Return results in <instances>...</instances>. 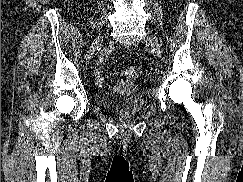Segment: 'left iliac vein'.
<instances>
[{
  "label": "left iliac vein",
  "mask_w": 243,
  "mask_h": 182,
  "mask_svg": "<svg viewBox=\"0 0 243 182\" xmlns=\"http://www.w3.org/2000/svg\"><path fill=\"white\" fill-rule=\"evenodd\" d=\"M147 43H149L151 45V47L153 48V50L155 51V53L161 57L162 55V47L160 45V43L158 42V40L155 37H147L145 40Z\"/></svg>",
  "instance_id": "4c4485c4"
}]
</instances>
